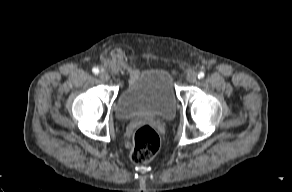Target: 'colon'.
<instances>
[{"label": "colon", "instance_id": "colon-1", "mask_svg": "<svg viewBox=\"0 0 292 192\" xmlns=\"http://www.w3.org/2000/svg\"><path fill=\"white\" fill-rule=\"evenodd\" d=\"M160 145L156 129L149 124L140 125L133 133L132 162L139 165L148 163L158 153Z\"/></svg>", "mask_w": 292, "mask_h": 192}]
</instances>
